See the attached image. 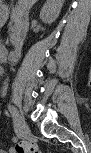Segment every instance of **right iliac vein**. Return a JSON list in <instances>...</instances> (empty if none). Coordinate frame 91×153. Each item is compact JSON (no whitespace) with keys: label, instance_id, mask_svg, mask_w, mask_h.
<instances>
[{"label":"right iliac vein","instance_id":"right-iliac-vein-1","mask_svg":"<svg viewBox=\"0 0 91 153\" xmlns=\"http://www.w3.org/2000/svg\"><path fill=\"white\" fill-rule=\"evenodd\" d=\"M14 118L16 120L17 127L20 130V132L22 133V135L25 137H30L31 131H30L25 119L23 118L21 113L16 108H14Z\"/></svg>","mask_w":91,"mask_h":153}]
</instances>
